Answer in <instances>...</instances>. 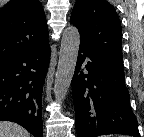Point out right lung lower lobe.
Listing matches in <instances>:
<instances>
[{
    "label": "right lung lower lobe",
    "instance_id": "1",
    "mask_svg": "<svg viewBox=\"0 0 144 137\" xmlns=\"http://www.w3.org/2000/svg\"><path fill=\"white\" fill-rule=\"evenodd\" d=\"M50 60L48 39L0 64V120L43 137L42 89Z\"/></svg>",
    "mask_w": 144,
    "mask_h": 137
}]
</instances>
